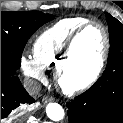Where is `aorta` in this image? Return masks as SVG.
Here are the masks:
<instances>
[{"label": "aorta", "mask_w": 123, "mask_h": 123, "mask_svg": "<svg viewBox=\"0 0 123 123\" xmlns=\"http://www.w3.org/2000/svg\"><path fill=\"white\" fill-rule=\"evenodd\" d=\"M46 114L52 121H60L64 118V110L58 103H49L46 106Z\"/></svg>", "instance_id": "aorta-1"}]
</instances>
